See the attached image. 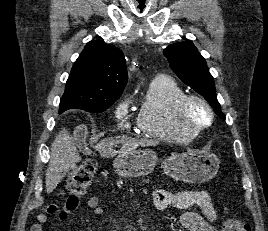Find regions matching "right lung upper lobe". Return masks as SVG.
<instances>
[{
    "label": "right lung upper lobe",
    "instance_id": "obj_1",
    "mask_svg": "<svg viewBox=\"0 0 268 231\" xmlns=\"http://www.w3.org/2000/svg\"><path fill=\"white\" fill-rule=\"evenodd\" d=\"M127 79L123 52L92 40L75 61L60 103L98 104L118 99Z\"/></svg>",
    "mask_w": 268,
    "mask_h": 231
}]
</instances>
